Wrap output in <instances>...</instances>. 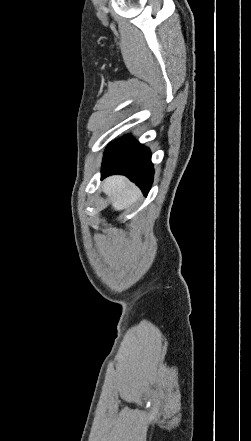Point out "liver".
<instances>
[{
	"label": "liver",
	"mask_w": 251,
	"mask_h": 441,
	"mask_svg": "<svg viewBox=\"0 0 251 441\" xmlns=\"http://www.w3.org/2000/svg\"><path fill=\"white\" fill-rule=\"evenodd\" d=\"M103 192L110 198L116 211L128 208L140 196V191L123 176H112L105 180Z\"/></svg>",
	"instance_id": "liver-1"
}]
</instances>
